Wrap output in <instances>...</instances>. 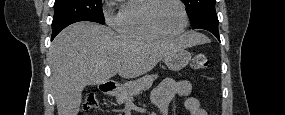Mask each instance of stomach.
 <instances>
[{
  "label": "stomach",
  "instance_id": "0dacf381",
  "mask_svg": "<svg viewBox=\"0 0 285 115\" xmlns=\"http://www.w3.org/2000/svg\"><path fill=\"white\" fill-rule=\"evenodd\" d=\"M191 60V53L184 48L178 49L164 57V62L169 70L179 71L183 69ZM115 95L116 92H112Z\"/></svg>",
  "mask_w": 285,
  "mask_h": 115
}]
</instances>
